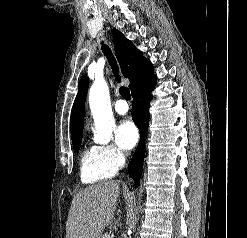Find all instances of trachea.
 I'll list each match as a JSON object with an SVG mask.
<instances>
[{"instance_id": "trachea-1", "label": "trachea", "mask_w": 247, "mask_h": 238, "mask_svg": "<svg viewBox=\"0 0 247 238\" xmlns=\"http://www.w3.org/2000/svg\"><path fill=\"white\" fill-rule=\"evenodd\" d=\"M102 51H103L104 55L107 57L116 79L118 80V82H120L121 76L118 74L119 68H118L116 59L114 58L110 48L107 45H102ZM119 91H120L121 96L124 99H126V100L131 99L130 91L127 87L122 86V87H120Z\"/></svg>"}]
</instances>
